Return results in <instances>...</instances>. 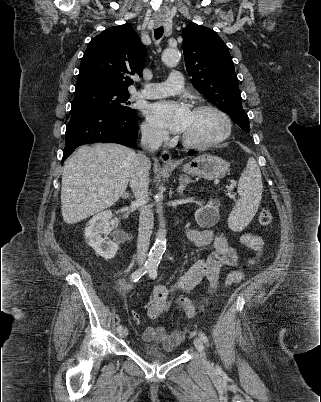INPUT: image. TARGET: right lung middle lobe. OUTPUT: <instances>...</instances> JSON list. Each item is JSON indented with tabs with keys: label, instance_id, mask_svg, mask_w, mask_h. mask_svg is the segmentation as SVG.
<instances>
[{
	"label": "right lung middle lobe",
	"instance_id": "obj_1",
	"mask_svg": "<svg viewBox=\"0 0 321 402\" xmlns=\"http://www.w3.org/2000/svg\"><path fill=\"white\" fill-rule=\"evenodd\" d=\"M129 93L103 84L76 85L71 112L91 110L111 114H130L135 110L128 105Z\"/></svg>",
	"mask_w": 321,
	"mask_h": 402
}]
</instances>
